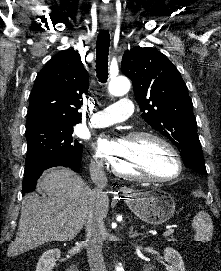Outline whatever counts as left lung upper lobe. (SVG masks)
<instances>
[{
	"mask_svg": "<svg viewBox=\"0 0 221 271\" xmlns=\"http://www.w3.org/2000/svg\"><path fill=\"white\" fill-rule=\"evenodd\" d=\"M121 69L132 81L143 119L171 140L184 164L207 175L188 88L176 66L151 47L125 51Z\"/></svg>",
	"mask_w": 221,
	"mask_h": 271,
	"instance_id": "left-lung-upper-lobe-1",
	"label": "left lung upper lobe"
}]
</instances>
